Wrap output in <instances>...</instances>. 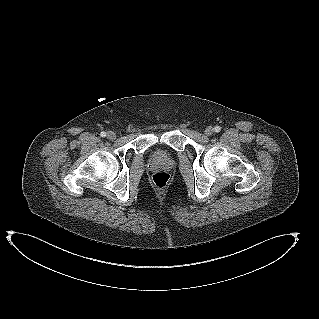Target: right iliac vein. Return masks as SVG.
Instances as JSON below:
<instances>
[{
  "instance_id": "right-iliac-vein-1",
  "label": "right iliac vein",
  "mask_w": 319,
  "mask_h": 319,
  "mask_svg": "<svg viewBox=\"0 0 319 319\" xmlns=\"http://www.w3.org/2000/svg\"><path fill=\"white\" fill-rule=\"evenodd\" d=\"M107 138H108L109 140H114V139L116 138V134H115L114 132H112V131H109V132L107 133Z\"/></svg>"
}]
</instances>
